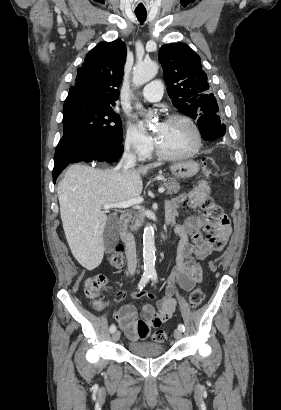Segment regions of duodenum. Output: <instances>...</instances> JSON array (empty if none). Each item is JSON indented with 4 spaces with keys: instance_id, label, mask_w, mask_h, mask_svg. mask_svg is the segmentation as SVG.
I'll list each match as a JSON object with an SVG mask.
<instances>
[{
    "instance_id": "410a0bca",
    "label": "duodenum",
    "mask_w": 281,
    "mask_h": 410,
    "mask_svg": "<svg viewBox=\"0 0 281 410\" xmlns=\"http://www.w3.org/2000/svg\"><path fill=\"white\" fill-rule=\"evenodd\" d=\"M129 221V215L128 214H122L119 217V227H120V234L121 238L124 242L127 241V231H126V225ZM162 239L164 240L166 238L165 233L163 232L161 235Z\"/></svg>"
}]
</instances>
